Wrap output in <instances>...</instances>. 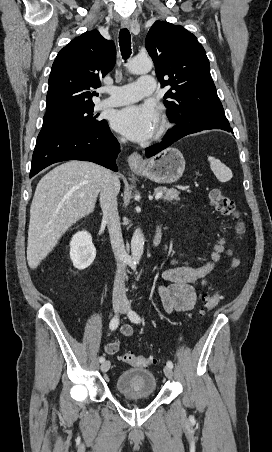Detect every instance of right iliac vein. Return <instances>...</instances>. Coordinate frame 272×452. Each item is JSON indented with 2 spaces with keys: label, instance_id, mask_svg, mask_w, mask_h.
Listing matches in <instances>:
<instances>
[{
  "label": "right iliac vein",
  "instance_id": "1",
  "mask_svg": "<svg viewBox=\"0 0 272 452\" xmlns=\"http://www.w3.org/2000/svg\"><path fill=\"white\" fill-rule=\"evenodd\" d=\"M123 303L121 301H114L113 302V310L114 312H118L122 309ZM110 369V361L106 360L101 365V371L107 372Z\"/></svg>",
  "mask_w": 272,
  "mask_h": 452
}]
</instances>
